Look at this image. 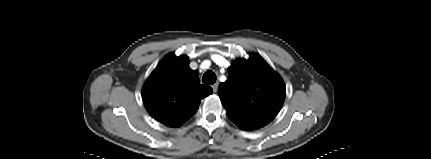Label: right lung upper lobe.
<instances>
[{"label": "right lung upper lobe", "mask_w": 431, "mask_h": 159, "mask_svg": "<svg viewBox=\"0 0 431 159\" xmlns=\"http://www.w3.org/2000/svg\"><path fill=\"white\" fill-rule=\"evenodd\" d=\"M212 92L211 87L200 84L187 56L168 54L144 84L142 98L153 118L177 127L194 115L201 99Z\"/></svg>", "instance_id": "right-lung-upper-lobe-1"}]
</instances>
